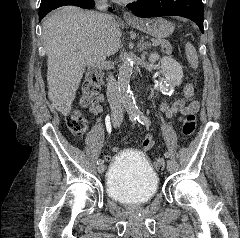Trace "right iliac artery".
<instances>
[{
  "label": "right iliac artery",
  "mask_w": 240,
  "mask_h": 238,
  "mask_svg": "<svg viewBox=\"0 0 240 238\" xmlns=\"http://www.w3.org/2000/svg\"><path fill=\"white\" fill-rule=\"evenodd\" d=\"M130 119H131V121H132V125H134V124L136 123V119H137V118L131 117ZM97 164H98V165L103 164V160H102V159H99V160L97 161Z\"/></svg>",
  "instance_id": "1"
}]
</instances>
